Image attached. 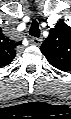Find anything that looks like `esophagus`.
<instances>
[{"mask_svg":"<svg viewBox=\"0 0 71 119\" xmlns=\"http://www.w3.org/2000/svg\"><path fill=\"white\" fill-rule=\"evenodd\" d=\"M42 41L43 40L41 38H36V37L30 39V42L36 46L41 45Z\"/></svg>","mask_w":71,"mask_h":119,"instance_id":"34e87169","label":"esophagus"}]
</instances>
